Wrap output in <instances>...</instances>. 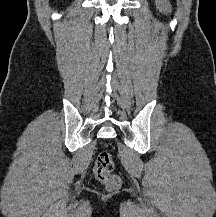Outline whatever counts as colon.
Here are the masks:
<instances>
[{"instance_id": "obj_1", "label": "colon", "mask_w": 216, "mask_h": 217, "mask_svg": "<svg viewBox=\"0 0 216 217\" xmlns=\"http://www.w3.org/2000/svg\"><path fill=\"white\" fill-rule=\"evenodd\" d=\"M113 166V159L109 152H101L97 156L94 175L108 190L117 189L121 184L120 177L112 172Z\"/></svg>"}]
</instances>
